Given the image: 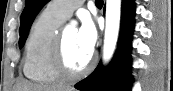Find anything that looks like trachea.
<instances>
[{
    "label": "trachea",
    "mask_w": 173,
    "mask_h": 91,
    "mask_svg": "<svg viewBox=\"0 0 173 91\" xmlns=\"http://www.w3.org/2000/svg\"><path fill=\"white\" fill-rule=\"evenodd\" d=\"M95 4H96L97 6L103 5V0H96V1H95Z\"/></svg>",
    "instance_id": "3493384b"
}]
</instances>
